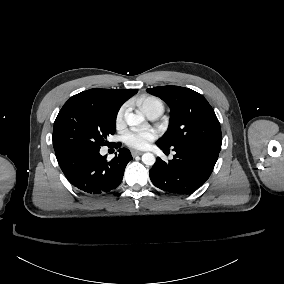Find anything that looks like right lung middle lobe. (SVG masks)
I'll use <instances>...</instances> for the list:
<instances>
[{
    "instance_id": "obj_1",
    "label": "right lung middle lobe",
    "mask_w": 284,
    "mask_h": 284,
    "mask_svg": "<svg viewBox=\"0 0 284 284\" xmlns=\"http://www.w3.org/2000/svg\"><path fill=\"white\" fill-rule=\"evenodd\" d=\"M117 112L86 97L72 96L60 110L53 128L56 156L67 152L100 148L116 130Z\"/></svg>"
}]
</instances>
